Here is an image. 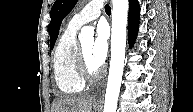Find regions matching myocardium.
<instances>
[{"label": "myocardium", "instance_id": "myocardium-1", "mask_svg": "<svg viewBox=\"0 0 193 112\" xmlns=\"http://www.w3.org/2000/svg\"><path fill=\"white\" fill-rule=\"evenodd\" d=\"M76 69L79 77L85 83H92L100 79L104 73V68L100 67L97 71L92 72L86 62L85 55L81 44L77 45L76 51Z\"/></svg>", "mask_w": 193, "mask_h": 112}]
</instances>
